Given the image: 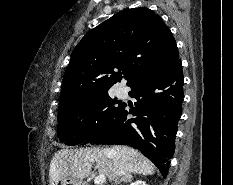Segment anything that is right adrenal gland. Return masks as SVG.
<instances>
[{
	"label": "right adrenal gland",
	"mask_w": 233,
	"mask_h": 185,
	"mask_svg": "<svg viewBox=\"0 0 233 185\" xmlns=\"http://www.w3.org/2000/svg\"><path fill=\"white\" fill-rule=\"evenodd\" d=\"M131 179H132V175L130 173H125V174L121 175L120 179L118 181H116L115 185L120 184L122 181L123 182L131 181Z\"/></svg>",
	"instance_id": "2a0ac1e0"
}]
</instances>
